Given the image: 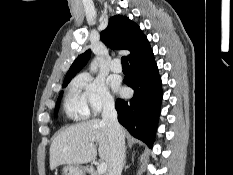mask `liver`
Wrapping results in <instances>:
<instances>
[{
  "instance_id": "obj_1",
  "label": "liver",
  "mask_w": 233,
  "mask_h": 175,
  "mask_svg": "<svg viewBox=\"0 0 233 175\" xmlns=\"http://www.w3.org/2000/svg\"><path fill=\"white\" fill-rule=\"evenodd\" d=\"M125 136V132L123 131ZM108 164L111 159L112 140L106 123L92 119L62 130L50 146V169L57 166L79 165L91 162L97 155Z\"/></svg>"
}]
</instances>
